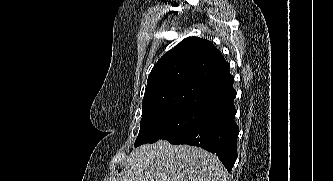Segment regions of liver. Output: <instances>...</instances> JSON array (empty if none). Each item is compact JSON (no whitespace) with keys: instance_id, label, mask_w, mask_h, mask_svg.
<instances>
[{"instance_id":"6515ba94","label":"liver","mask_w":333,"mask_h":181,"mask_svg":"<svg viewBox=\"0 0 333 181\" xmlns=\"http://www.w3.org/2000/svg\"><path fill=\"white\" fill-rule=\"evenodd\" d=\"M225 175L214 154L159 140L134 149L115 181H225Z\"/></svg>"}]
</instances>
